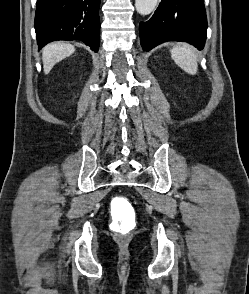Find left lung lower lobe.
Returning a JSON list of instances; mask_svg holds the SVG:
<instances>
[{"instance_id":"1","label":"left lung lower lobe","mask_w":249,"mask_h":294,"mask_svg":"<svg viewBox=\"0 0 249 294\" xmlns=\"http://www.w3.org/2000/svg\"><path fill=\"white\" fill-rule=\"evenodd\" d=\"M144 51L167 41H185L202 49L207 18L203 0H162L154 15L139 25Z\"/></svg>"}]
</instances>
